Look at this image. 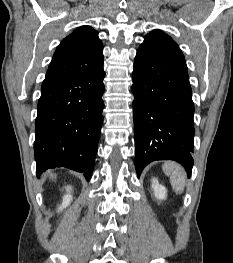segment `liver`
<instances>
[{"mask_svg":"<svg viewBox=\"0 0 233 263\" xmlns=\"http://www.w3.org/2000/svg\"><path fill=\"white\" fill-rule=\"evenodd\" d=\"M55 176H56V175H54V174H52V173L50 174V177H51V178H54Z\"/></svg>","mask_w":233,"mask_h":263,"instance_id":"obj_1","label":"liver"}]
</instances>
